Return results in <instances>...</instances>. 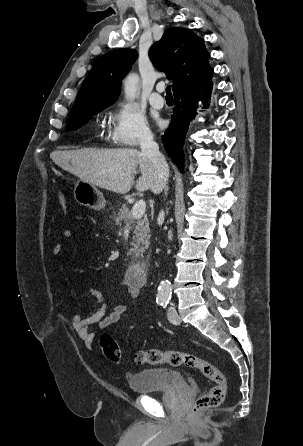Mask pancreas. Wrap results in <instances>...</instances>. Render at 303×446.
Here are the masks:
<instances>
[{
  "label": "pancreas",
  "instance_id": "1",
  "mask_svg": "<svg viewBox=\"0 0 303 446\" xmlns=\"http://www.w3.org/2000/svg\"><path fill=\"white\" fill-rule=\"evenodd\" d=\"M114 220L116 225L119 227H121L123 224H132L131 229H134V236L128 255L135 258L143 257V253L149 246L150 239L149 221L147 217H144L143 219H133L132 212L126 205H123L117 216H115Z\"/></svg>",
  "mask_w": 303,
  "mask_h": 446
}]
</instances>
